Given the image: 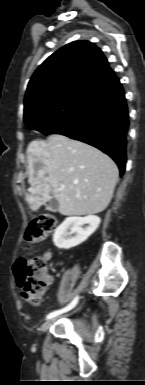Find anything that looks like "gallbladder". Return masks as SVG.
I'll return each mask as SVG.
<instances>
[{"mask_svg":"<svg viewBox=\"0 0 145 385\" xmlns=\"http://www.w3.org/2000/svg\"><path fill=\"white\" fill-rule=\"evenodd\" d=\"M58 201L56 199H51L47 205V209L52 212H56L58 210Z\"/></svg>","mask_w":145,"mask_h":385,"instance_id":"1","label":"gallbladder"}]
</instances>
